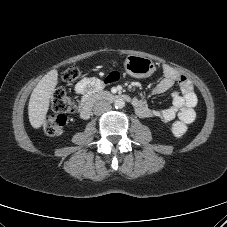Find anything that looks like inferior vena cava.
Here are the masks:
<instances>
[{
  "label": "inferior vena cava",
  "instance_id": "inferior-vena-cava-1",
  "mask_svg": "<svg viewBox=\"0 0 227 227\" xmlns=\"http://www.w3.org/2000/svg\"><path fill=\"white\" fill-rule=\"evenodd\" d=\"M112 106L106 101H98L95 103L93 112L95 115H101L105 112L110 111Z\"/></svg>",
  "mask_w": 227,
  "mask_h": 227
}]
</instances>
